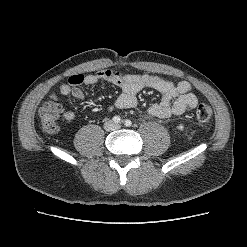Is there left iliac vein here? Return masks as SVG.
Returning <instances> with one entry per match:
<instances>
[{
	"mask_svg": "<svg viewBox=\"0 0 247 247\" xmlns=\"http://www.w3.org/2000/svg\"><path fill=\"white\" fill-rule=\"evenodd\" d=\"M115 127H116V128H120V125H119V124H117V125H115Z\"/></svg>",
	"mask_w": 247,
	"mask_h": 247,
	"instance_id": "1",
	"label": "left iliac vein"
}]
</instances>
